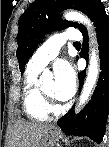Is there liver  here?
<instances>
[{
  "label": "liver",
  "instance_id": "liver-1",
  "mask_svg": "<svg viewBox=\"0 0 109 147\" xmlns=\"http://www.w3.org/2000/svg\"><path fill=\"white\" fill-rule=\"evenodd\" d=\"M55 126L40 122H15L10 136L8 147H39L44 135Z\"/></svg>",
  "mask_w": 109,
  "mask_h": 147
}]
</instances>
